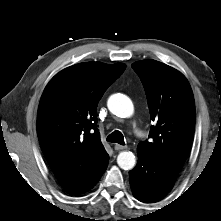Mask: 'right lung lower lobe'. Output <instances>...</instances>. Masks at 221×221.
I'll list each match as a JSON object with an SVG mask.
<instances>
[{
  "label": "right lung lower lobe",
  "mask_w": 221,
  "mask_h": 221,
  "mask_svg": "<svg viewBox=\"0 0 221 221\" xmlns=\"http://www.w3.org/2000/svg\"><path fill=\"white\" fill-rule=\"evenodd\" d=\"M105 171V170H104ZM103 171V172H104ZM103 172L101 174H99L92 182H90L89 184L75 190V191H71L72 193H75V194H81V193H84L88 190H90L97 182L98 180L100 179V177L102 176Z\"/></svg>",
  "instance_id": "1"
}]
</instances>
